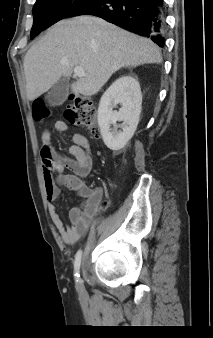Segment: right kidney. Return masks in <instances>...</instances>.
Masks as SVG:
<instances>
[{"instance_id": "obj_1", "label": "right kidney", "mask_w": 213, "mask_h": 338, "mask_svg": "<svg viewBox=\"0 0 213 338\" xmlns=\"http://www.w3.org/2000/svg\"><path fill=\"white\" fill-rule=\"evenodd\" d=\"M120 104L119 111L113 108ZM142 94L139 82L131 76L117 79L103 94L98 107V125L105 145L111 150L122 149L134 135L141 113ZM123 121L122 131L111 124Z\"/></svg>"}]
</instances>
